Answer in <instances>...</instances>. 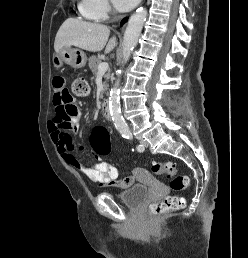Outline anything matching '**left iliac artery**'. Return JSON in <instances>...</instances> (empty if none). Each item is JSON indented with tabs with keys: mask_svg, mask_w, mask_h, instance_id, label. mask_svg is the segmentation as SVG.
Wrapping results in <instances>:
<instances>
[{
	"mask_svg": "<svg viewBox=\"0 0 248 258\" xmlns=\"http://www.w3.org/2000/svg\"><path fill=\"white\" fill-rule=\"evenodd\" d=\"M125 138L132 140V139H133V136H132L131 134H128V135L125 136ZM136 149H137L138 152L144 151V147H143L141 144L138 145V146L136 147Z\"/></svg>",
	"mask_w": 248,
	"mask_h": 258,
	"instance_id": "obj_1",
	"label": "left iliac artery"
}]
</instances>
